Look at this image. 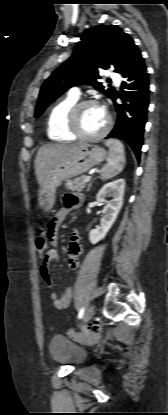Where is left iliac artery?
<instances>
[{
  "mask_svg": "<svg viewBox=\"0 0 168 415\" xmlns=\"http://www.w3.org/2000/svg\"><path fill=\"white\" fill-rule=\"evenodd\" d=\"M84 311H85L84 308L80 309L79 314H78L79 319L83 317Z\"/></svg>",
  "mask_w": 168,
  "mask_h": 415,
  "instance_id": "left-iliac-artery-1",
  "label": "left iliac artery"
}]
</instances>
